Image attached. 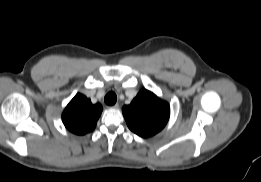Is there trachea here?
<instances>
[{
	"instance_id": "3493384b",
	"label": "trachea",
	"mask_w": 261,
	"mask_h": 182,
	"mask_svg": "<svg viewBox=\"0 0 261 182\" xmlns=\"http://www.w3.org/2000/svg\"><path fill=\"white\" fill-rule=\"evenodd\" d=\"M104 101L107 105H114L117 101V96L114 92H109L105 98Z\"/></svg>"
}]
</instances>
